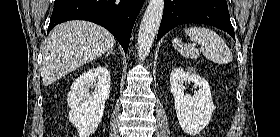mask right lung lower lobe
I'll list each match as a JSON object with an SVG mask.
<instances>
[{"label": "right lung lower lobe", "mask_w": 280, "mask_h": 137, "mask_svg": "<svg viewBox=\"0 0 280 137\" xmlns=\"http://www.w3.org/2000/svg\"><path fill=\"white\" fill-rule=\"evenodd\" d=\"M145 0H55L48 32L68 20H86L111 32L126 53L131 31Z\"/></svg>", "instance_id": "obj_1"}]
</instances>
